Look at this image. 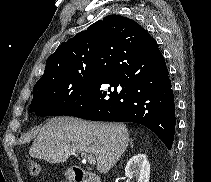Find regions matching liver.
<instances>
[{"label": "liver", "mask_w": 211, "mask_h": 182, "mask_svg": "<svg viewBox=\"0 0 211 182\" xmlns=\"http://www.w3.org/2000/svg\"><path fill=\"white\" fill-rule=\"evenodd\" d=\"M128 142V129L123 124L58 117L40 129L29 154L50 163H63L76 152L93 154L97 170L107 173L125 152Z\"/></svg>", "instance_id": "1"}]
</instances>
